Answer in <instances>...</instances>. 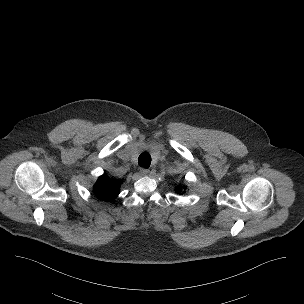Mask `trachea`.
Here are the masks:
<instances>
[{
	"instance_id": "trachea-1",
	"label": "trachea",
	"mask_w": 304,
	"mask_h": 304,
	"mask_svg": "<svg viewBox=\"0 0 304 304\" xmlns=\"http://www.w3.org/2000/svg\"><path fill=\"white\" fill-rule=\"evenodd\" d=\"M138 163L141 167L148 168L151 164V156L148 152H143L138 158Z\"/></svg>"
}]
</instances>
